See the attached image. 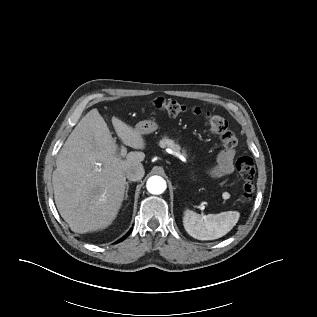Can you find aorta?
I'll return each mask as SVG.
<instances>
[{"mask_svg": "<svg viewBox=\"0 0 317 317\" xmlns=\"http://www.w3.org/2000/svg\"><path fill=\"white\" fill-rule=\"evenodd\" d=\"M146 187L151 194L158 195L165 191L167 185L166 181L161 176L154 175L147 180Z\"/></svg>", "mask_w": 317, "mask_h": 317, "instance_id": "762f6f07", "label": "aorta"}]
</instances>
